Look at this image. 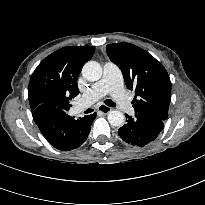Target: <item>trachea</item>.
<instances>
[{"label":"trachea","mask_w":205,"mask_h":205,"mask_svg":"<svg viewBox=\"0 0 205 205\" xmlns=\"http://www.w3.org/2000/svg\"><path fill=\"white\" fill-rule=\"evenodd\" d=\"M104 102H105L106 105H108L110 107H115L116 106V104L112 100L107 99ZM88 111H92V109H88Z\"/></svg>","instance_id":"obj_1"}]
</instances>
